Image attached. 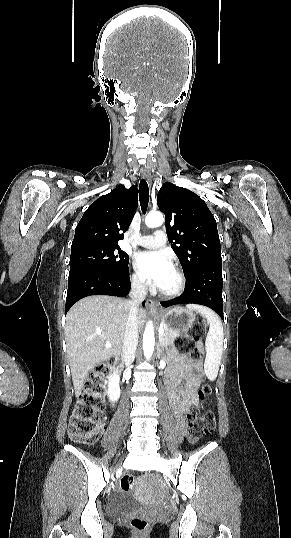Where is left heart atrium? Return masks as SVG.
I'll list each match as a JSON object with an SVG mask.
<instances>
[{
	"label": "left heart atrium",
	"instance_id": "39dd6f15",
	"mask_svg": "<svg viewBox=\"0 0 291 538\" xmlns=\"http://www.w3.org/2000/svg\"><path fill=\"white\" fill-rule=\"evenodd\" d=\"M134 267L141 279L158 288L173 271L169 257L161 251H145L137 254Z\"/></svg>",
	"mask_w": 291,
	"mask_h": 538
}]
</instances>
